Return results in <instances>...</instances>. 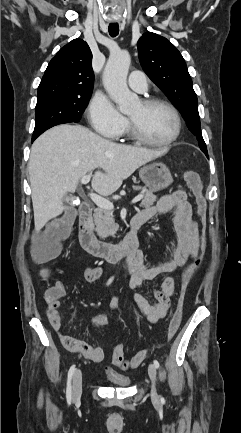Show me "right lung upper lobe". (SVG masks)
<instances>
[{"label": "right lung upper lobe", "instance_id": "right-lung-upper-lobe-1", "mask_svg": "<svg viewBox=\"0 0 241 433\" xmlns=\"http://www.w3.org/2000/svg\"><path fill=\"white\" fill-rule=\"evenodd\" d=\"M92 53L82 39H74L51 59L38 87V99L51 96L84 97L92 94Z\"/></svg>", "mask_w": 241, "mask_h": 433}]
</instances>
